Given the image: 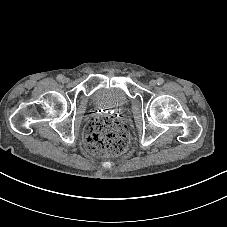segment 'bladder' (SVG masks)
Returning a JSON list of instances; mask_svg holds the SVG:
<instances>
[{
	"instance_id": "obj_1",
	"label": "bladder",
	"mask_w": 227,
	"mask_h": 227,
	"mask_svg": "<svg viewBox=\"0 0 227 227\" xmlns=\"http://www.w3.org/2000/svg\"><path fill=\"white\" fill-rule=\"evenodd\" d=\"M133 98L128 92L127 81L119 77L108 83H101L89 96L88 107L95 105L99 109L122 110L130 107Z\"/></svg>"
}]
</instances>
